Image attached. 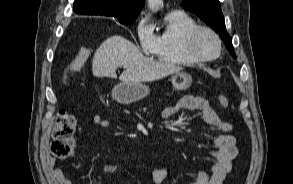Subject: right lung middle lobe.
Segmentation results:
<instances>
[{"label":"right lung middle lobe","mask_w":293,"mask_h":184,"mask_svg":"<svg viewBox=\"0 0 293 184\" xmlns=\"http://www.w3.org/2000/svg\"><path fill=\"white\" fill-rule=\"evenodd\" d=\"M134 20L135 19H126V20H121L119 22L122 23V24H129V23L133 22Z\"/></svg>","instance_id":"right-lung-middle-lobe-1"}]
</instances>
